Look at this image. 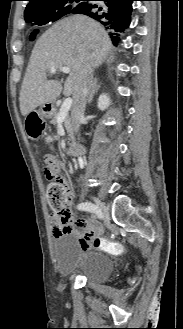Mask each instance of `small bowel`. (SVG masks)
<instances>
[{
	"instance_id": "1",
	"label": "small bowel",
	"mask_w": 183,
	"mask_h": 329,
	"mask_svg": "<svg viewBox=\"0 0 183 329\" xmlns=\"http://www.w3.org/2000/svg\"><path fill=\"white\" fill-rule=\"evenodd\" d=\"M51 165L55 169H61V162L53 156H49ZM72 194L70 192V199ZM51 222L53 224V236L59 237L64 233H72L77 236L80 248L83 251H87L93 247H97L95 244V239L102 232V227L92 219H78L75 220L72 212L69 210L67 216L64 218L57 217L56 215H51Z\"/></svg>"
}]
</instances>
